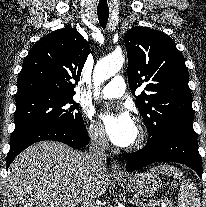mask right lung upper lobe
<instances>
[{
  "instance_id": "cb5924a9",
  "label": "right lung upper lobe",
  "mask_w": 206,
  "mask_h": 207,
  "mask_svg": "<svg viewBox=\"0 0 206 207\" xmlns=\"http://www.w3.org/2000/svg\"><path fill=\"white\" fill-rule=\"evenodd\" d=\"M90 53L88 42L74 28H62L41 38L30 49L18 76L15 100L32 95L73 96Z\"/></svg>"
}]
</instances>
